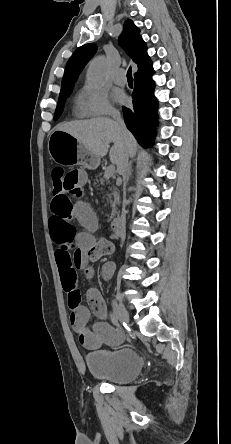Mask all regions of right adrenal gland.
<instances>
[{"label":"right adrenal gland","instance_id":"2a0ac1e0","mask_svg":"<svg viewBox=\"0 0 231 444\" xmlns=\"http://www.w3.org/2000/svg\"><path fill=\"white\" fill-rule=\"evenodd\" d=\"M131 165H132V163L130 162L129 166H128L127 181L129 180V178H130V176L132 174V166Z\"/></svg>","mask_w":231,"mask_h":444}]
</instances>
